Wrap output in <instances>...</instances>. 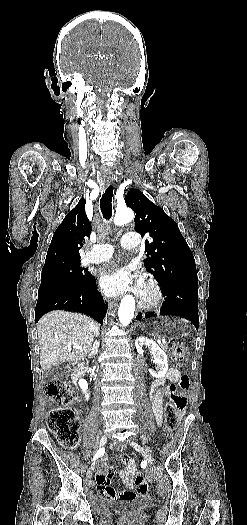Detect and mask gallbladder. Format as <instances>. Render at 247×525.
Wrapping results in <instances>:
<instances>
[{"instance_id": "1", "label": "gallbladder", "mask_w": 247, "mask_h": 525, "mask_svg": "<svg viewBox=\"0 0 247 525\" xmlns=\"http://www.w3.org/2000/svg\"><path fill=\"white\" fill-rule=\"evenodd\" d=\"M46 377L48 380L53 381L58 377V375L65 374L68 372V369L65 367H62L60 363H56L55 365H51L48 367V369H45Z\"/></svg>"}]
</instances>
